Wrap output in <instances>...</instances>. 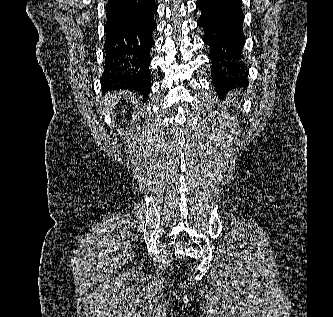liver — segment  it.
<instances>
[{
	"label": "liver",
	"mask_w": 333,
	"mask_h": 317,
	"mask_svg": "<svg viewBox=\"0 0 333 317\" xmlns=\"http://www.w3.org/2000/svg\"><path fill=\"white\" fill-rule=\"evenodd\" d=\"M121 99V93H108L100 102L105 113H109Z\"/></svg>",
	"instance_id": "1"
}]
</instances>
